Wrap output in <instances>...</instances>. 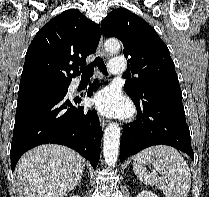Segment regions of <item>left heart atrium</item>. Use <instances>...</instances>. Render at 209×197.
<instances>
[{"mask_svg": "<svg viewBox=\"0 0 209 197\" xmlns=\"http://www.w3.org/2000/svg\"><path fill=\"white\" fill-rule=\"evenodd\" d=\"M92 104L107 116H123L130 112V107L120 91L113 87L100 90L93 97Z\"/></svg>", "mask_w": 209, "mask_h": 197, "instance_id": "left-heart-atrium-1", "label": "left heart atrium"}]
</instances>
